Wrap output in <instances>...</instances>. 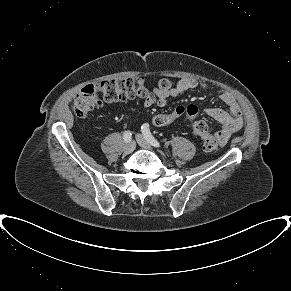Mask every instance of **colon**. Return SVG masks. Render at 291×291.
Returning <instances> with one entry per match:
<instances>
[{"mask_svg":"<svg viewBox=\"0 0 291 291\" xmlns=\"http://www.w3.org/2000/svg\"><path fill=\"white\" fill-rule=\"evenodd\" d=\"M148 95L144 80L141 78H127L122 80H106L97 84L85 86L74 98L73 109L78 117H86L103 103L127 101L143 98ZM197 108L193 105L178 106L170 113L157 114L152 118L155 126H166L182 117L192 119V129L203 142V149L213 152L219 148L216 134L210 133L205 122L194 120Z\"/></svg>","mask_w":291,"mask_h":291,"instance_id":"5ec220e1","label":"colon"}]
</instances>
